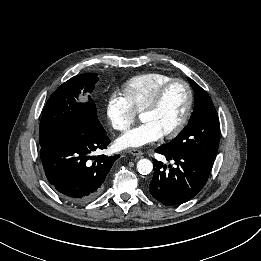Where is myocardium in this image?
I'll list each match as a JSON object with an SVG mask.
<instances>
[{
    "mask_svg": "<svg viewBox=\"0 0 261 261\" xmlns=\"http://www.w3.org/2000/svg\"><path fill=\"white\" fill-rule=\"evenodd\" d=\"M176 84H181L185 87V89L187 91V105H186L185 112H184L180 122L178 123V125L173 130L162 135L163 139H173V138L177 137L186 127V125L190 119V116L192 113V108H193V103H194V94H193V89H192L191 85L186 80L181 79V78H174V79L170 80L168 83H166L159 89V91L157 92V94L154 97V99L152 100V102L149 105H147L140 114V116H141L145 113H152V112L157 111L160 108L169 89Z\"/></svg>",
    "mask_w": 261,
    "mask_h": 261,
    "instance_id": "1",
    "label": "myocardium"
}]
</instances>
